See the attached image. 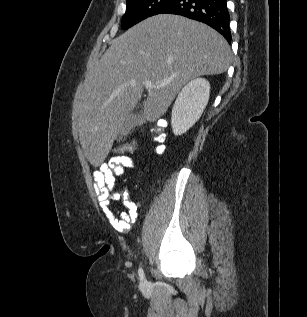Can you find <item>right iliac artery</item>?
I'll use <instances>...</instances> for the list:
<instances>
[{"mask_svg":"<svg viewBox=\"0 0 307 317\" xmlns=\"http://www.w3.org/2000/svg\"><path fill=\"white\" fill-rule=\"evenodd\" d=\"M138 275H139V278L142 282L145 281V275H144V271L143 269L140 267L139 270H138Z\"/></svg>","mask_w":307,"mask_h":317,"instance_id":"1","label":"right iliac artery"}]
</instances>
